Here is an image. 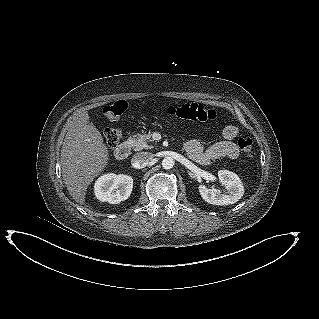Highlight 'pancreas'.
Returning <instances> with one entry per match:
<instances>
[{
  "instance_id": "pancreas-1",
  "label": "pancreas",
  "mask_w": 319,
  "mask_h": 319,
  "mask_svg": "<svg viewBox=\"0 0 319 319\" xmlns=\"http://www.w3.org/2000/svg\"><path fill=\"white\" fill-rule=\"evenodd\" d=\"M134 151L151 148L148 143L152 141L151 134H135L129 139Z\"/></svg>"
}]
</instances>
